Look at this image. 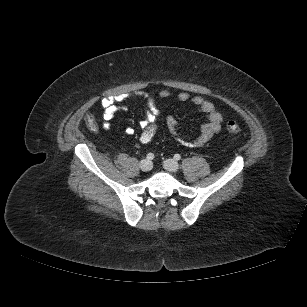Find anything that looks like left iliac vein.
<instances>
[{
    "mask_svg": "<svg viewBox=\"0 0 307 307\" xmlns=\"http://www.w3.org/2000/svg\"><path fill=\"white\" fill-rule=\"evenodd\" d=\"M163 167L169 172H176L179 169V164L174 159H167L164 161Z\"/></svg>",
    "mask_w": 307,
    "mask_h": 307,
    "instance_id": "1",
    "label": "left iliac vein"
}]
</instances>
